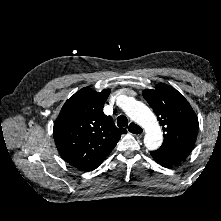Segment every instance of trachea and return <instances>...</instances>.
Listing matches in <instances>:
<instances>
[{"mask_svg": "<svg viewBox=\"0 0 221 221\" xmlns=\"http://www.w3.org/2000/svg\"><path fill=\"white\" fill-rule=\"evenodd\" d=\"M117 125L118 127H125L128 125V119L124 116V115H120L118 118H117Z\"/></svg>", "mask_w": 221, "mask_h": 221, "instance_id": "3493384b", "label": "trachea"}]
</instances>
